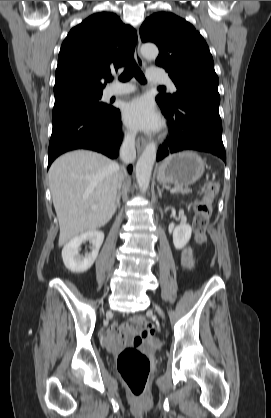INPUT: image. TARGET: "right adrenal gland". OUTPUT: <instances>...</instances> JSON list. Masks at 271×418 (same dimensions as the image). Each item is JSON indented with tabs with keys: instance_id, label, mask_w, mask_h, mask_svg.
I'll return each mask as SVG.
<instances>
[{
	"instance_id": "right-adrenal-gland-1",
	"label": "right adrenal gland",
	"mask_w": 271,
	"mask_h": 418,
	"mask_svg": "<svg viewBox=\"0 0 271 418\" xmlns=\"http://www.w3.org/2000/svg\"><path fill=\"white\" fill-rule=\"evenodd\" d=\"M120 199H121V194L118 193L117 198H116V209L117 208L120 209Z\"/></svg>"
}]
</instances>
